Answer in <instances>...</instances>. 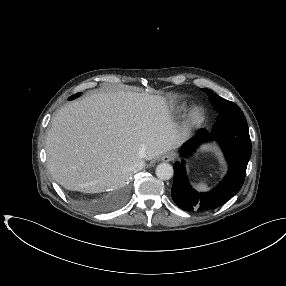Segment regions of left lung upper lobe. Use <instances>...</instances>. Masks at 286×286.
Masks as SVG:
<instances>
[{"label":"left lung upper lobe","instance_id":"1","mask_svg":"<svg viewBox=\"0 0 286 286\" xmlns=\"http://www.w3.org/2000/svg\"><path fill=\"white\" fill-rule=\"evenodd\" d=\"M203 91L207 93L213 108L219 113L217 121L224 119L246 120L242 110L235 103L218 96L210 89H203Z\"/></svg>","mask_w":286,"mask_h":286}]
</instances>
